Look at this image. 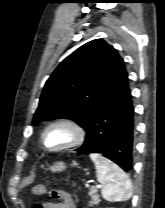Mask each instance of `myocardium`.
Wrapping results in <instances>:
<instances>
[{
  "label": "myocardium",
  "mask_w": 165,
  "mask_h": 208,
  "mask_svg": "<svg viewBox=\"0 0 165 208\" xmlns=\"http://www.w3.org/2000/svg\"><path fill=\"white\" fill-rule=\"evenodd\" d=\"M55 127L67 128L71 133V139L60 146L50 147L47 145L45 138L49 130ZM86 136L87 131L82 124L72 119L60 118L53 120L46 125L41 134V143L43 147L50 152H60L81 145L86 140Z\"/></svg>",
  "instance_id": "f54148a6"
}]
</instances>
